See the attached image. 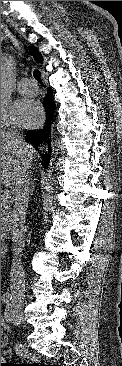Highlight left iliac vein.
Returning <instances> with one entry per match:
<instances>
[{"label": "left iliac vein", "mask_w": 122, "mask_h": 366, "mask_svg": "<svg viewBox=\"0 0 122 366\" xmlns=\"http://www.w3.org/2000/svg\"><path fill=\"white\" fill-rule=\"evenodd\" d=\"M17 315H18V312L17 311H13L12 315L9 318H7V319L13 321V323L15 325H18L20 322H19V320L17 318Z\"/></svg>", "instance_id": "obj_1"}]
</instances>
